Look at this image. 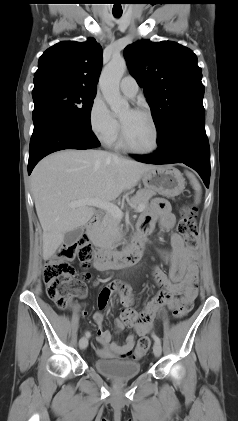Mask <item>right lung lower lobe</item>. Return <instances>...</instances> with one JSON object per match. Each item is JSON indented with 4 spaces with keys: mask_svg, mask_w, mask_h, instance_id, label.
Listing matches in <instances>:
<instances>
[{
    "mask_svg": "<svg viewBox=\"0 0 238 421\" xmlns=\"http://www.w3.org/2000/svg\"><path fill=\"white\" fill-rule=\"evenodd\" d=\"M28 174L45 156L64 149H90L100 145L92 130L84 129L52 111H44L33 120Z\"/></svg>",
    "mask_w": 238,
    "mask_h": 421,
    "instance_id": "98d812e1",
    "label": "right lung lower lobe"
}]
</instances>
